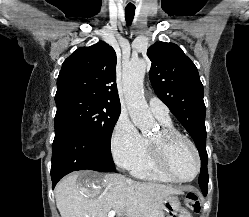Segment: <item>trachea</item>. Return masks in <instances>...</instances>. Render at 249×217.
<instances>
[{"mask_svg": "<svg viewBox=\"0 0 249 217\" xmlns=\"http://www.w3.org/2000/svg\"><path fill=\"white\" fill-rule=\"evenodd\" d=\"M135 14V7L134 6H128L125 8V19L127 22V25L130 26Z\"/></svg>", "mask_w": 249, "mask_h": 217, "instance_id": "3493384b", "label": "trachea"}]
</instances>
